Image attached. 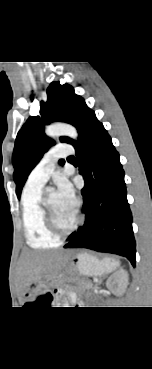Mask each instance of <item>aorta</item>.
I'll return each instance as SVG.
<instances>
[{"mask_svg": "<svg viewBox=\"0 0 152 369\" xmlns=\"http://www.w3.org/2000/svg\"><path fill=\"white\" fill-rule=\"evenodd\" d=\"M45 133L49 137L68 136L77 139L78 133L75 127L66 123H56L45 128Z\"/></svg>", "mask_w": 152, "mask_h": 369, "instance_id": "obj_1", "label": "aorta"}]
</instances>
